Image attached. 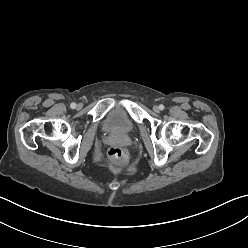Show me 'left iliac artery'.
<instances>
[{"label":"left iliac artery","instance_id":"obj_1","mask_svg":"<svg viewBox=\"0 0 248 248\" xmlns=\"http://www.w3.org/2000/svg\"><path fill=\"white\" fill-rule=\"evenodd\" d=\"M159 109H160V110H164V105H162V104L159 105Z\"/></svg>","mask_w":248,"mask_h":248}]
</instances>
